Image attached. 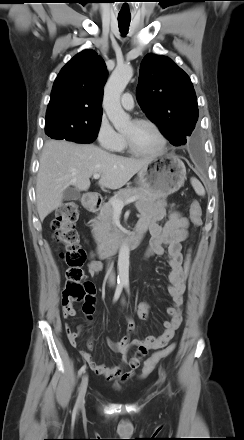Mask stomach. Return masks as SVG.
I'll list each match as a JSON object with an SVG mask.
<instances>
[{
	"label": "stomach",
	"instance_id": "stomach-1",
	"mask_svg": "<svg viewBox=\"0 0 244 440\" xmlns=\"http://www.w3.org/2000/svg\"><path fill=\"white\" fill-rule=\"evenodd\" d=\"M186 179L184 163L174 155L153 159L141 169L136 183L147 193L166 197L178 191Z\"/></svg>",
	"mask_w": 244,
	"mask_h": 440
}]
</instances>
